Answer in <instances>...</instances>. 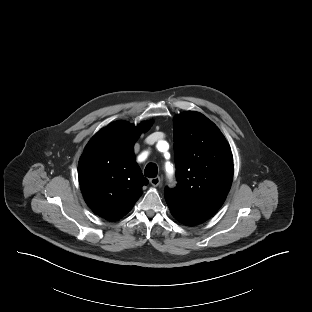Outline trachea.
<instances>
[{"mask_svg": "<svg viewBox=\"0 0 312 312\" xmlns=\"http://www.w3.org/2000/svg\"><path fill=\"white\" fill-rule=\"evenodd\" d=\"M158 172L157 165L154 163H149L145 167V176L149 178L156 177Z\"/></svg>", "mask_w": 312, "mask_h": 312, "instance_id": "3493384b", "label": "trachea"}]
</instances>
